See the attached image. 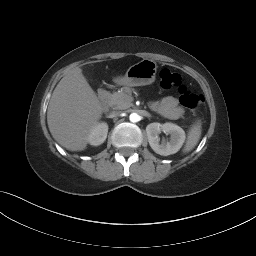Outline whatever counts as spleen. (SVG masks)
I'll return each instance as SVG.
<instances>
[{"label": "spleen", "mask_w": 256, "mask_h": 256, "mask_svg": "<svg viewBox=\"0 0 256 256\" xmlns=\"http://www.w3.org/2000/svg\"><path fill=\"white\" fill-rule=\"evenodd\" d=\"M201 122L197 121L189 130L184 153L190 152L198 143L201 136Z\"/></svg>", "instance_id": "spleen-1"}]
</instances>
